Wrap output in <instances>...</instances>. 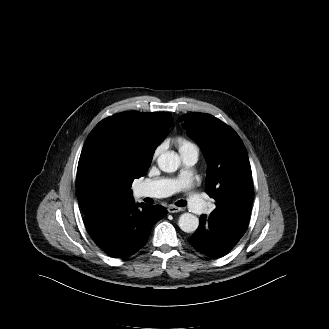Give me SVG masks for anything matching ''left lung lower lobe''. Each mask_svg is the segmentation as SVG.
Segmentation results:
<instances>
[{"label": "left lung lower lobe", "mask_w": 329, "mask_h": 329, "mask_svg": "<svg viewBox=\"0 0 329 329\" xmlns=\"http://www.w3.org/2000/svg\"><path fill=\"white\" fill-rule=\"evenodd\" d=\"M250 213V200H245L231 204L229 210H220V214L202 215L198 229L188 242L210 258L224 256L244 235Z\"/></svg>", "instance_id": "obj_1"}]
</instances>
